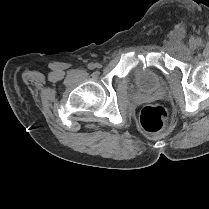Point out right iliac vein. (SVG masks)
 Wrapping results in <instances>:
<instances>
[{"instance_id": "right-iliac-vein-1", "label": "right iliac vein", "mask_w": 209, "mask_h": 209, "mask_svg": "<svg viewBox=\"0 0 209 209\" xmlns=\"http://www.w3.org/2000/svg\"><path fill=\"white\" fill-rule=\"evenodd\" d=\"M96 67H97V68H101V65H100V64H96Z\"/></svg>"}]
</instances>
